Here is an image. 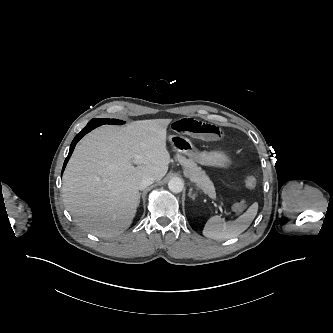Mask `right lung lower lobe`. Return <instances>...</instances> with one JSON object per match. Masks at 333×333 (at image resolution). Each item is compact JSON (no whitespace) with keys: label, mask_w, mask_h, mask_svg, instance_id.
Segmentation results:
<instances>
[{"label":"right lung lower lobe","mask_w":333,"mask_h":333,"mask_svg":"<svg viewBox=\"0 0 333 333\" xmlns=\"http://www.w3.org/2000/svg\"><path fill=\"white\" fill-rule=\"evenodd\" d=\"M99 125H101V121H100V120L92 119V120L88 123V125H87L83 130H81L80 133H78V134L75 136L74 140H73L72 143H71L70 150H69V154H68V156H67V158H66V160H65V162H64V165H63V169H62V171L64 170V168H65V166H66V164H67V162H68V160H69V158H70V156H71V154H72V152H73V149H74L76 143H77V142H78V141H79V140H80V139H81L86 133H88L89 131H91L92 129L96 128V127L99 126Z\"/></svg>","instance_id":"obj_1"}]
</instances>
